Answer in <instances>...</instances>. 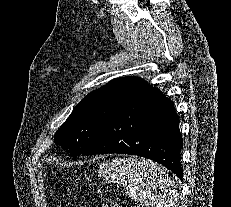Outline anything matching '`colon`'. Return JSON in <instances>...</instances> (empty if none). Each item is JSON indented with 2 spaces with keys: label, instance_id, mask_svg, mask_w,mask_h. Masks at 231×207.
<instances>
[{
  "label": "colon",
  "instance_id": "5ec220e1",
  "mask_svg": "<svg viewBox=\"0 0 231 207\" xmlns=\"http://www.w3.org/2000/svg\"><path fill=\"white\" fill-rule=\"evenodd\" d=\"M96 192L99 193L100 191L98 189H96ZM98 207H119V205L117 204V202L112 197L105 196L102 199V201Z\"/></svg>",
  "mask_w": 231,
  "mask_h": 207
}]
</instances>
